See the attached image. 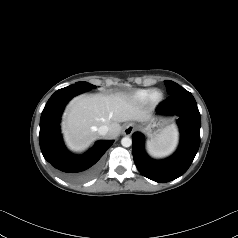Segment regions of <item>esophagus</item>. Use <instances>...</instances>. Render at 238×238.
<instances>
[{"instance_id":"esophagus-1","label":"esophagus","mask_w":238,"mask_h":238,"mask_svg":"<svg viewBox=\"0 0 238 238\" xmlns=\"http://www.w3.org/2000/svg\"><path fill=\"white\" fill-rule=\"evenodd\" d=\"M135 130L134 124L130 123L124 128V134L131 135Z\"/></svg>"}]
</instances>
